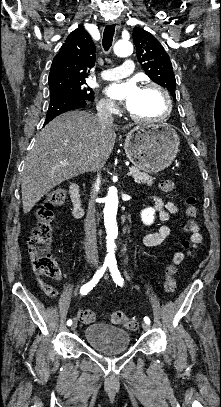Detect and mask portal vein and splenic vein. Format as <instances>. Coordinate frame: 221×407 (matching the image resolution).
Here are the masks:
<instances>
[{"instance_id":"1","label":"portal vein and splenic vein","mask_w":221,"mask_h":407,"mask_svg":"<svg viewBox=\"0 0 221 407\" xmlns=\"http://www.w3.org/2000/svg\"><path fill=\"white\" fill-rule=\"evenodd\" d=\"M127 175H128V176H131V175H132V171H129V172L127 173Z\"/></svg>"}]
</instances>
